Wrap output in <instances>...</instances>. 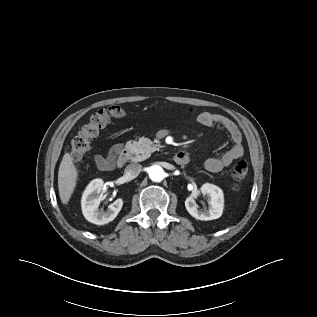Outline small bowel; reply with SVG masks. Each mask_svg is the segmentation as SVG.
Returning <instances> with one entry per match:
<instances>
[{
	"instance_id": "c3829d8e",
	"label": "small bowel",
	"mask_w": 317,
	"mask_h": 317,
	"mask_svg": "<svg viewBox=\"0 0 317 317\" xmlns=\"http://www.w3.org/2000/svg\"><path fill=\"white\" fill-rule=\"evenodd\" d=\"M196 119L197 122L203 126L210 127L218 125L224 128L234 143V145L220 157H211L206 159L203 162V168L206 171L211 173H219L224 168L230 166L235 160L241 158L244 155V148L242 145V133L234 121L223 115L208 111L199 112L196 116ZM120 148V144L112 147L107 157L96 155L94 157L96 166L101 170H105L107 161L115 158V155Z\"/></svg>"
}]
</instances>
